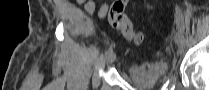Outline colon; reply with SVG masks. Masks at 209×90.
I'll return each instance as SVG.
<instances>
[{
    "label": "colon",
    "instance_id": "obj_1",
    "mask_svg": "<svg viewBox=\"0 0 209 90\" xmlns=\"http://www.w3.org/2000/svg\"><path fill=\"white\" fill-rule=\"evenodd\" d=\"M125 1H114L108 12V19L110 24L119 30L123 37L136 45L143 41V35L134 29V26L128 16L124 12Z\"/></svg>",
    "mask_w": 209,
    "mask_h": 90
}]
</instances>
